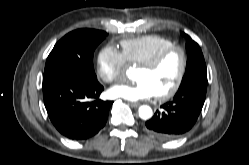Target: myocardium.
I'll return each mask as SVG.
<instances>
[{
  "label": "myocardium",
  "instance_id": "1",
  "mask_svg": "<svg viewBox=\"0 0 249 165\" xmlns=\"http://www.w3.org/2000/svg\"><path fill=\"white\" fill-rule=\"evenodd\" d=\"M174 52H178L180 55V58H181L180 69H179V72L177 74V77L173 85L168 90L155 95L158 100H167L171 98L172 96H174L179 90L183 82V79H184V76L187 70V64H188V58H187V53L185 49L179 45H172L160 51L151 60L138 65L139 68H143L149 71H154L165 61V59L169 55H171Z\"/></svg>",
  "mask_w": 249,
  "mask_h": 165
}]
</instances>
